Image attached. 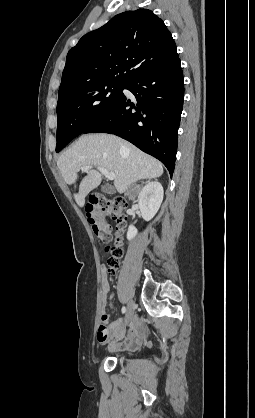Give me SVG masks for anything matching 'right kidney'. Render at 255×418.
<instances>
[{"mask_svg":"<svg viewBox=\"0 0 255 418\" xmlns=\"http://www.w3.org/2000/svg\"><path fill=\"white\" fill-rule=\"evenodd\" d=\"M164 191L162 185L157 181L146 184L138 196V207L141 216L145 221L151 220L158 212L163 201ZM137 229L130 225L127 232V239L130 241L137 235Z\"/></svg>","mask_w":255,"mask_h":418,"instance_id":"obj_1","label":"right kidney"}]
</instances>
